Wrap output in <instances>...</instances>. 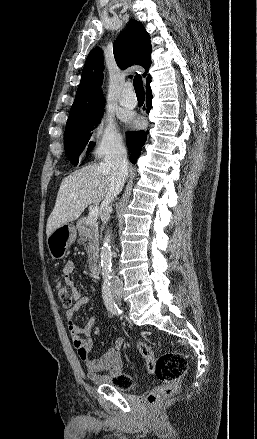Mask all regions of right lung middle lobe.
Returning a JSON list of instances; mask_svg holds the SVG:
<instances>
[{
  "label": "right lung middle lobe",
  "instance_id": "obj_1",
  "mask_svg": "<svg viewBox=\"0 0 257 439\" xmlns=\"http://www.w3.org/2000/svg\"><path fill=\"white\" fill-rule=\"evenodd\" d=\"M103 112L104 110L102 108L89 115L67 121L64 133V146L73 165L79 163V155L87 145L91 132L99 124ZM94 146L95 143L90 142L87 152H90Z\"/></svg>",
  "mask_w": 257,
  "mask_h": 439
}]
</instances>
